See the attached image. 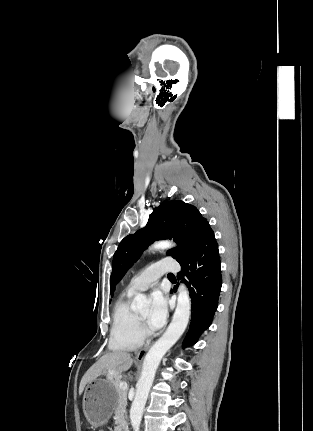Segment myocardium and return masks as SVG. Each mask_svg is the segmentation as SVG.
<instances>
[{"label":"myocardium","mask_w":313,"mask_h":431,"mask_svg":"<svg viewBox=\"0 0 313 431\" xmlns=\"http://www.w3.org/2000/svg\"><path fill=\"white\" fill-rule=\"evenodd\" d=\"M137 318H138V322H139V325H140L141 332L143 334V328L145 326V321L140 317V315H137Z\"/></svg>","instance_id":"f54148a6"}]
</instances>
